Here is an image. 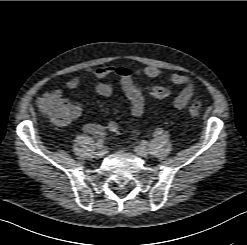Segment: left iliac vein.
Wrapping results in <instances>:
<instances>
[{"mask_svg":"<svg viewBox=\"0 0 247 245\" xmlns=\"http://www.w3.org/2000/svg\"><path fill=\"white\" fill-rule=\"evenodd\" d=\"M134 151L142 157H146L149 153L147 147L145 146H137Z\"/></svg>","mask_w":247,"mask_h":245,"instance_id":"left-iliac-vein-1","label":"left iliac vein"}]
</instances>
